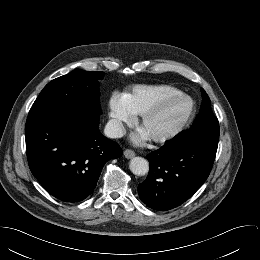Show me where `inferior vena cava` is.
I'll use <instances>...</instances> for the list:
<instances>
[{
  "mask_svg": "<svg viewBox=\"0 0 260 260\" xmlns=\"http://www.w3.org/2000/svg\"><path fill=\"white\" fill-rule=\"evenodd\" d=\"M104 133L108 138H121L125 134V131L119 121L111 119L107 122Z\"/></svg>",
  "mask_w": 260,
  "mask_h": 260,
  "instance_id": "602c4592",
  "label": "inferior vena cava"
}]
</instances>
